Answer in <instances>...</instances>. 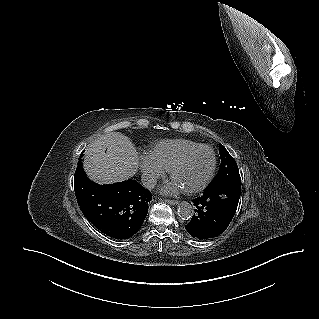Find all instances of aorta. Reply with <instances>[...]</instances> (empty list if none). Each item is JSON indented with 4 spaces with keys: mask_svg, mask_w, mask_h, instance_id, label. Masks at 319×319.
<instances>
[{
    "mask_svg": "<svg viewBox=\"0 0 319 319\" xmlns=\"http://www.w3.org/2000/svg\"><path fill=\"white\" fill-rule=\"evenodd\" d=\"M178 216L183 219V220H188L190 219L193 214H194V208L193 206L186 202L183 201L178 205Z\"/></svg>",
    "mask_w": 319,
    "mask_h": 319,
    "instance_id": "obj_1",
    "label": "aorta"
}]
</instances>
